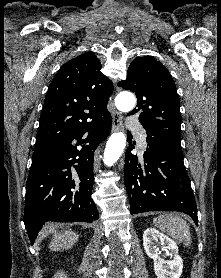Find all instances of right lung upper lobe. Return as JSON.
<instances>
[{
	"instance_id": "obj_1",
	"label": "right lung upper lobe",
	"mask_w": 221,
	"mask_h": 278,
	"mask_svg": "<svg viewBox=\"0 0 221 278\" xmlns=\"http://www.w3.org/2000/svg\"><path fill=\"white\" fill-rule=\"evenodd\" d=\"M112 82L101 72L93 53L63 64L47 91L34 149L44 147L75 128L110 115Z\"/></svg>"
}]
</instances>
